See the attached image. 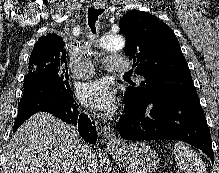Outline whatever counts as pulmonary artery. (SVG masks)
<instances>
[{
	"label": "pulmonary artery",
	"instance_id": "obj_1",
	"mask_svg": "<svg viewBox=\"0 0 219 173\" xmlns=\"http://www.w3.org/2000/svg\"><path fill=\"white\" fill-rule=\"evenodd\" d=\"M106 69L110 71H127L130 68V61L121 56H109L104 59ZM94 74V67L88 59L81 60L73 69V76L77 79L89 78Z\"/></svg>",
	"mask_w": 219,
	"mask_h": 173
}]
</instances>
